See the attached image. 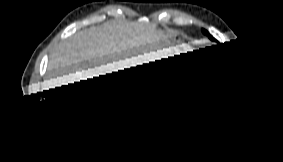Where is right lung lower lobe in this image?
<instances>
[{
	"label": "right lung lower lobe",
	"instance_id": "98d812e1",
	"mask_svg": "<svg viewBox=\"0 0 283 162\" xmlns=\"http://www.w3.org/2000/svg\"><path fill=\"white\" fill-rule=\"evenodd\" d=\"M135 77L130 76L129 79ZM127 79L123 78L98 85V87L92 86L79 92L74 91L60 97L48 98L47 101L53 102V105L48 107L43 115L55 126L83 140L101 137L118 125L125 110V101L140 93V86L136 83L126 87L107 89ZM76 94H79V97L74 100L56 103V100L60 98Z\"/></svg>",
	"mask_w": 283,
	"mask_h": 162
}]
</instances>
